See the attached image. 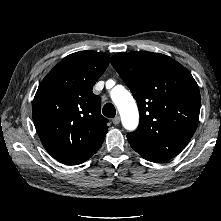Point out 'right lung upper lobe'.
I'll use <instances>...</instances> for the list:
<instances>
[{"label":"right lung upper lobe","mask_w":221,"mask_h":221,"mask_svg":"<svg viewBox=\"0 0 221 221\" xmlns=\"http://www.w3.org/2000/svg\"><path fill=\"white\" fill-rule=\"evenodd\" d=\"M109 55L80 51L62 59L42 80L33 100V122L47 152L60 162L81 164L101 147L108 120L92 87Z\"/></svg>","instance_id":"1"}]
</instances>
